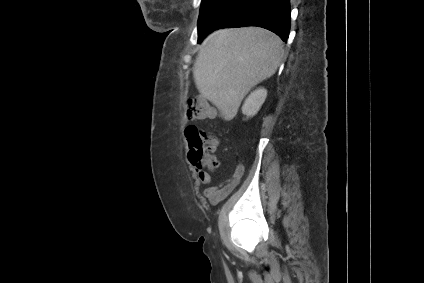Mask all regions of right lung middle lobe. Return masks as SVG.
I'll return each instance as SVG.
<instances>
[{"mask_svg": "<svg viewBox=\"0 0 424 283\" xmlns=\"http://www.w3.org/2000/svg\"><path fill=\"white\" fill-rule=\"evenodd\" d=\"M227 1L228 0H202L198 19V31L224 7Z\"/></svg>", "mask_w": 424, "mask_h": 283, "instance_id": "obj_1", "label": "right lung middle lobe"}]
</instances>
